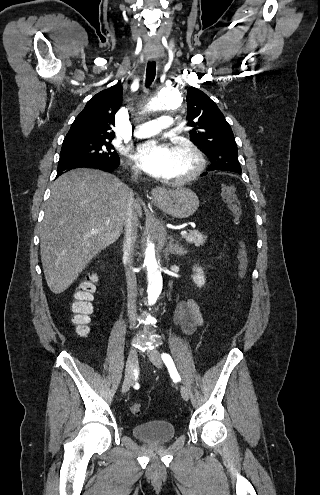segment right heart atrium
<instances>
[{
    "label": "right heart atrium",
    "mask_w": 320,
    "mask_h": 495,
    "mask_svg": "<svg viewBox=\"0 0 320 495\" xmlns=\"http://www.w3.org/2000/svg\"><path fill=\"white\" fill-rule=\"evenodd\" d=\"M131 169H132V172L134 174H138L139 173V168L137 166H132Z\"/></svg>",
    "instance_id": "obj_1"
}]
</instances>
